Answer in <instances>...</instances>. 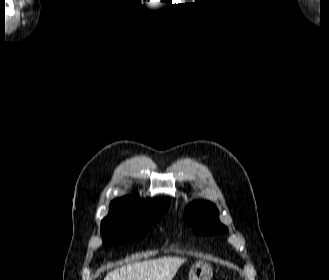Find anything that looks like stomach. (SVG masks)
Returning <instances> with one entry per match:
<instances>
[{
  "label": "stomach",
  "mask_w": 329,
  "mask_h": 280,
  "mask_svg": "<svg viewBox=\"0 0 329 280\" xmlns=\"http://www.w3.org/2000/svg\"><path fill=\"white\" fill-rule=\"evenodd\" d=\"M213 270L210 264L199 261L193 264L189 271V280H211Z\"/></svg>",
  "instance_id": "stomach-1"
}]
</instances>
